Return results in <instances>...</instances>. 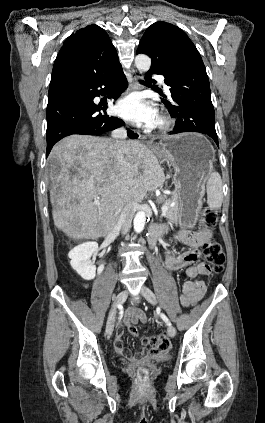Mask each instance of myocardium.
Wrapping results in <instances>:
<instances>
[{
	"instance_id": "myocardium-1",
	"label": "myocardium",
	"mask_w": 265,
	"mask_h": 423,
	"mask_svg": "<svg viewBox=\"0 0 265 423\" xmlns=\"http://www.w3.org/2000/svg\"><path fill=\"white\" fill-rule=\"evenodd\" d=\"M157 119H158L157 122L152 126L153 130L164 133L169 131L172 128L173 121L165 113H160Z\"/></svg>"
}]
</instances>
